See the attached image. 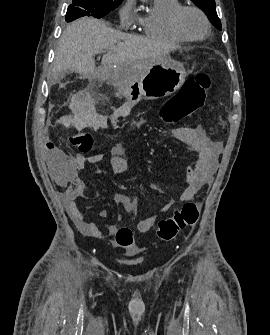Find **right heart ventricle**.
Returning a JSON list of instances; mask_svg holds the SVG:
<instances>
[{
  "label": "right heart ventricle",
  "mask_w": 270,
  "mask_h": 335,
  "mask_svg": "<svg viewBox=\"0 0 270 335\" xmlns=\"http://www.w3.org/2000/svg\"><path fill=\"white\" fill-rule=\"evenodd\" d=\"M182 6L180 0H154L152 8L145 13L135 15L133 22L151 38L181 43L186 39L172 28L171 16Z\"/></svg>",
  "instance_id": "right-heart-ventricle-1"
}]
</instances>
